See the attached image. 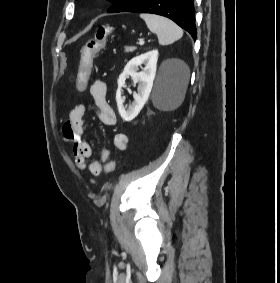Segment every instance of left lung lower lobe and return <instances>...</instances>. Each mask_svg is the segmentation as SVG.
Segmentation results:
<instances>
[{"mask_svg":"<svg viewBox=\"0 0 280 283\" xmlns=\"http://www.w3.org/2000/svg\"><path fill=\"white\" fill-rule=\"evenodd\" d=\"M125 11L165 16L196 39L197 30L193 0H139Z\"/></svg>","mask_w":280,"mask_h":283,"instance_id":"left-lung-lower-lobe-1","label":"left lung lower lobe"}]
</instances>
